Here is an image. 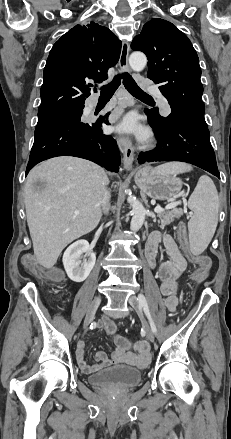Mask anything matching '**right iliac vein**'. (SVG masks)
Here are the masks:
<instances>
[{"label":"right iliac vein","mask_w":231,"mask_h":439,"mask_svg":"<svg viewBox=\"0 0 231 439\" xmlns=\"http://www.w3.org/2000/svg\"><path fill=\"white\" fill-rule=\"evenodd\" d=\"M100 303H101V296L95 297L94 300L92 301L84 320V325H83L84 329H86L89 326V324L92 322Z\"/></svg>","instance_id":"obj_1"}]
</instances>
